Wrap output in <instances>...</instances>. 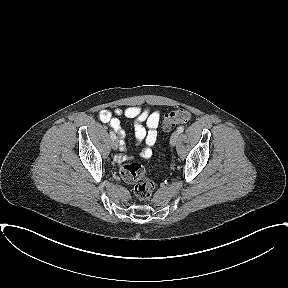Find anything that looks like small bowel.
<instances>
[{
  "mask_svg": "<svg viewBox=\"0 0 288 288\" xmlns=\"http://www.w3.org/2000/svg\"><path fill=\"white\" fill-rule=\"evenodd\" d=\"M120 116L134 119V131L137 139V145L141 147L140 157L147 159L152 155L151 147L157 141V127L160 121V112L151 111L149 108L131 106L125 109L115 108L113 111L103 109L99 112V118L102 122L108 124L121 138V151L116 160L118 163L128 160L130 157L124 152V138L126 132L119 120Z\"/></svg>",
  "mask_w": 288,
  "mask_h": 288,
  "instance_id": "obj_1",
  "label": "small bowel"
}]
</instances>
